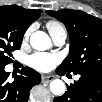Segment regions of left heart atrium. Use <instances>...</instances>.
Instances as JSON below:
<instances>
[{"mask_svg": "<svg viewBox=\"0 0 102 102\" xmlns=\"http://www.w3.org/2000/svg\"><path fill=\"white\" fill-rule=\"evenodd\" d=\"M57 55L47 53H36L29 58V64L41 72H48L58 63Z\"/></svg>", "mask_w": 102, "mask_h": 102, "instance_id": "left-heart-atrium-1", "label": "left heart atrium"}]
</instances>
